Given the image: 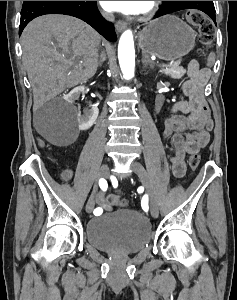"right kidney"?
<instances>
[{"label": "right kidney", "instance_id": "ca27d5eb", "mask_svg": "<svg viewBox=\"0 0 237 300\" xmlns=\"http://www.w3.org/2000/svg\"><path fill=\"white\" fill-rule=\"evenodd\" d=\"M84 91L85 87H75V89H72L69 95H67L69 103H75ZM98 115L99 109H97V107H92V109L84 111V115L77 113L79 131H87V129H90V127L94 125Z\"/></svg>", "mask_w": 237, "mask_h": 300}]
</instances>
